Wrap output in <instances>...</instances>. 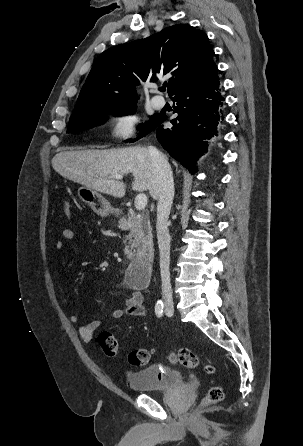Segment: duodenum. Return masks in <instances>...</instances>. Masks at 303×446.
Segmentation results:
<instances>
[{
  "instance_id": "410a0bca",
  "label": "duodenum",
  "mask_w": 303,
  "mask_h": 446,
  "mask_svg": "<svg viewBox=\"0 0 303 446\" xmlns=\"http://www.w3.org/2000/svg\"><path fill=\"white\" fill-rule=\"evenodd\" d=\"M152 272V260L148 257L134 259L127 269V281L136 288L141 289L148 285Z\"/></svg>"
}]
</instances>
